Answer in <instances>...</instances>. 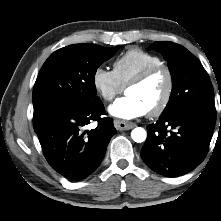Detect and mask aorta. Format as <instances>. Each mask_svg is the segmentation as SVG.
Returning a JSON list of instances; mask_svg holds the SVG:
<instances>
[{
    "mask_svg": "<svg viewBox=\"0 0 221 221\" xmlns=\"http://www.w3.org/2000/svg\"><path fill=\"white\" fill-rule=\"evenodd\" d=\"M131 137H132L133 141H135L137 143H141L146 140L147 132L144 128L137 127L132 130Z\"/></svg>",
    "mask_w": 221,
    "mask_h": 221,
    "instance_id": "1",
    "label": "aorta"
}]
</instances>
